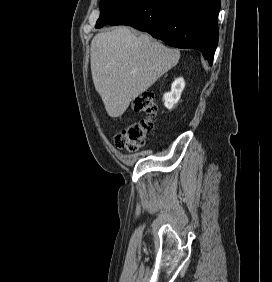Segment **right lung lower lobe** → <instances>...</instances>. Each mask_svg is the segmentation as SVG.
<instances>
[{"label": "right lung lower lobe", "instance_id": "1", "mask_svg": "<svg viewBox=\"0 0 272 282\" xmlns=\"http://www.w3.org/2000/svg\"><path fill=\"white\" fill-rule=\"evenodd\" d=\"M220 0H136L107 24L129 25L177 48L199 50L212 65Z\"/></svg>", "mask_w": 272, "mask_h": 282}]
</instances>
